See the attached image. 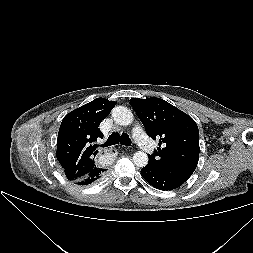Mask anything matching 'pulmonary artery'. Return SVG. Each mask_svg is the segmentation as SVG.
I'll return each mask as SVG.
<instances>
[{"label": "pulmonary artery", "instance_id": "e3ab8cb5", "mask_svg": "<svg viewBox=\"0 0 253 253\" xmlns=\"http://www.w3.org/2000/svg\"><path fill=\"white\" fill-rule=\"evenodd\" d=\"M133 137L141 149L148 152L152 150V143L140 126H135L133 128Z\"/></svg>", "mask_w": 253, "mask_h": 253}]
</instances>
